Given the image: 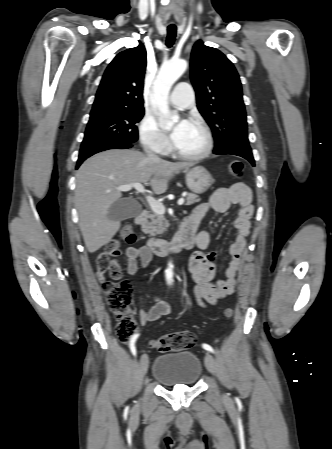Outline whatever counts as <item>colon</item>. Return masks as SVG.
Wrapping results in <instances>:
<instances>
[{
	"mask_svg": "<svg viewBox=\"0 0 332 449\" xmlns=\"http://www.w3.org/2000/svg\"><path fill=\"white\" fill-rule=\"evenodd\" d=\"M230 174L234 178H241L244 175V165L241 161H231L228 165ZM121 238L129 243L134 242L135 232L132 227L126 226L121 230ZM121 254L120 241L115 239L109 242L103 252L97 256L98 273L104 278L106 272L114 281H104L102 285L109 309L114 317L118 319L116 333L121 341L127 342L137 331V323L132 317L130 305L133 298L132 284L128 280H119L121 266L111 259ZM226 319H231L233 310H224ZM195 335L192 332H175L164 335L151 342V346L160 352L181 351L193 346Z\"/></svg>",
	"mask_w": 332,
	"mask_h": 449,
	"instance_id": "5ec220e1",
	"label": "colon"
}]
</instances>
